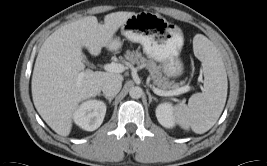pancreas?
Masks as SVG:
<instances>
[{
	"label": "pancreas",
	"instance_id": "cf45deb5",
	"mask_svg": "<svg viewBox=\"0 0 267 166\" xmlns=\"http://www.w3.org/2000/svg\"><path fill=\"white\" fill-rule=\"evenodd\" d=\"M125 59L129 64H137L141 67L148 69L153 84L157 86L160 90L176 89L179 87L178 84L173 81H169L167 77L162 74V66H158L156 62L152 59H147L142 56L138 51H127L125 54Z\"/></svg>",
	"mask_w": 267,
	"mask_h": 166
}]
</instances>
